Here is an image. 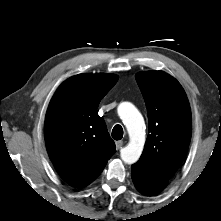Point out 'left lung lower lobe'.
Wrapping results in <instances>:
<instances>
[{"label":"left lung lower lobe","instance_id":"obj_1","mask_svg":"<svg viewBox=\"0 0 221 221\" xmlns=\"http://www.w3.org/2000/svg\"><path fill=\"white\" fill-rule=\"evenodd\" d=\"M132 180L136 188L144 195H155L161 192L168 184V180L153 174L144 166L135 163L132 165Z\"/></svg>","mask_w":221,"mask_h":221}]
</instances>
